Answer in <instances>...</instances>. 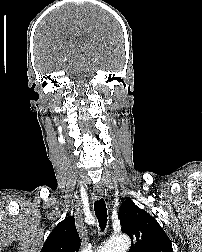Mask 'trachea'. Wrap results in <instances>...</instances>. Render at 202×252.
<instances>
[{
	"mask_svg": "<svg viewBox=\"0 0 202 252\" xmlns=\"http://www.w3.org/2000/svg\"><path fill=\"white\" fill-rule=\"evenodd\" d=\"M95 215L98 219L99 226L103 230L107 224V208L104 199H99L94 203Z\"/></svg>",
	"mask_w": 202,
	"mask_h": 252,
	"instance_id": "trachea-1",
	"label": "trachea"
}]
</instances>
